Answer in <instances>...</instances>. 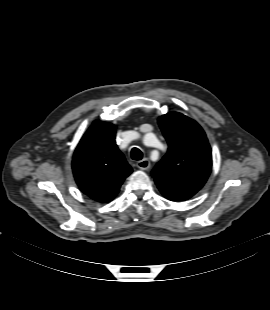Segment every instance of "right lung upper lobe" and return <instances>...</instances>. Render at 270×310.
Instances as JSON below:
<instances>
[{
  "mask_svg": "<svg viewBox=\"0 0 270 310\" xmlns=\"http://www.w3.org/2000/svg\"><path fill=\"white\" fill-rule=\"evenodd\" d=\"M115 128L111 123L95 121L79 142L72 161L79 188L102 203L117 195L132 172L115 143Z\"/></svg>",
  "mask_w": 270,
  "mask_h": 310,
  "instance_id": "cb5924a9",
  "label": "right lung upper lobe"
}]
</instances>
